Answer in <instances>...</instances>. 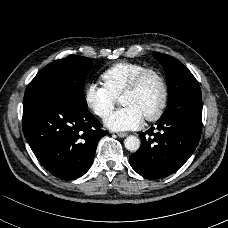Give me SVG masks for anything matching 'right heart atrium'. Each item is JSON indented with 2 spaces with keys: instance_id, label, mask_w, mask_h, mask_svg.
<instances>
[{
  "instance_id": "d8ad5b80",
  "label": "right heart atrium",
  "mask_w": 228,
  "mask_h": 228,
  "mask_svg": "<svg viewBox=\"0 0 228 228\" xmlns=\"http://www.w3.org/2000/svg\"><path fill=\"white\" fill-rule=\"evenodd\" d=\"M84 100L87 107L99 117L106 115L116 103V98L109 92L105 85H100L95 81L89 82L86 85Z\"/></svg>"
}]
</instances>
